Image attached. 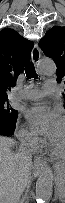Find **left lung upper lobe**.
<instances>
[{"mask_svg": "<svg viewBox=\"0 0 65 203\" xmlns=\"http://www.w3.org/2000/svg\"><path fill=\"white\" fill-rule=\"evenodd\" d=\"M39 46L46 56L53 58L55 61L57 82L64 81L65 83V27L54 26L48 30L39 41ZM63 97L65 99V94H63Z\"/></svg>", "mask_w": 65, "mask_h": 203, "instance_id": "left-lung-upper-lobe-1", "label": "left lung upper lobe"}]
</instances>
